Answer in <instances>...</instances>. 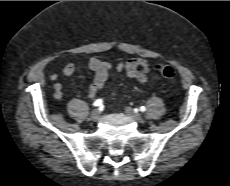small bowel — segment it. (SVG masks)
<instances>
[{"label": "small bowel", "mask_w": 230, "mask_h": 186, "mask_svg": "<svg viewBox=\"0 0 230 186\" xmlns=\"http://www.w3.org/2000/svg\"><path fill=\"white\" fill-rule=\"evenodd\" d=\"M90 70L94 72V79L92 84L87 89V95L93 98L99 90L105 85L109 72L112 70V66L97 57H91L88 62ZM76 70V64L73 62L67 63L62 70L64 76H71ZM115 72H124L128 77L134 78L141 83H146L150 79V67L147 60L143 58H131L125 61H121L114 68ZM52 81H54V96L56 99L63 98V87L58 82V74L52 73L50 75Z\"/></svg>", "instance_id": "small-bowel-1"}]
</instances>
